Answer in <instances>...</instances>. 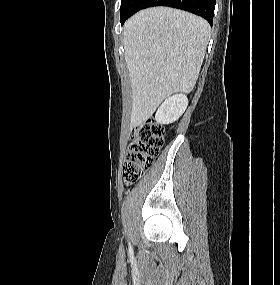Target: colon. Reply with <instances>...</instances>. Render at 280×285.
Wrapping results in <instances>:
<instances>
[{"mask_svg":"<svg viewBox=\"0 0 280 285\" xmlns=\"http://www.w3.org/2000/svg\"><path fill=\"white\" fill-rule=\"evenodd\" d=\"M164 144V129L153 121L137 125L131 138L123 166V178L127 185L137 182L151 167Z\"/></svg>","mask_w":280,"mask_h":285,"instance_id":"1","label":"colon"}]
</instances>
